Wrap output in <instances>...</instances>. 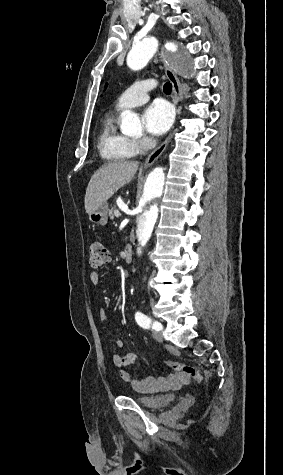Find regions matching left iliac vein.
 Wrapping results in <instances>:
<instances>
[{"instance_id":"1","label":"left iliac vein","mask_w":283,"mask_h":475,"mask_svg":"<svg viewBox=\"0 0 283 475\" xmlns=\"http://www.w3.org/2000/svg\"><path fill=\"white\" fill-rule=\"evenodd\" d=\"M153 337L159 342H161L163 339V335L160 332H158V330H154Z\"/></svg>"}]
</instances>
